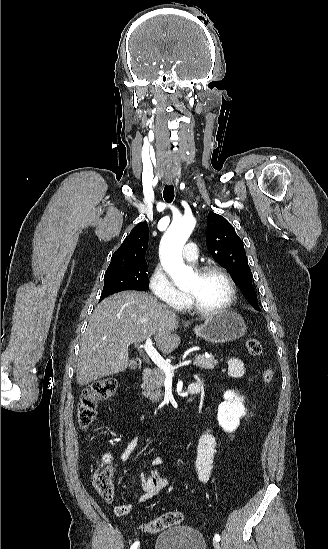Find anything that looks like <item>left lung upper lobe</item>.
Returning a JSON list of instances; mask_svg holds the SVG:
<instances>
[{
    "label": "left lung upper lobe",
    "instance_id": "5c2ea615",
    "mask_svg": "<svg viewBox=\"0 0 328 549\" xmlns=\"http://www.w3.org/2000/svg\"><path fill=\"white\" fill-rule=\"evenodd\" d=\"M206 244L215 261L235 279L249 303L258 307L243 242L234 227L212 211L208 215Z\"/></svg>",
    "mask_w": 328,
    "mask_h": 549
}]
</instances>
